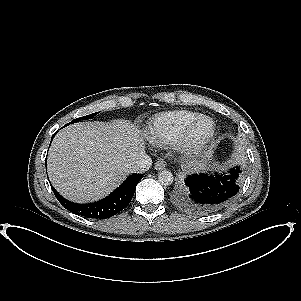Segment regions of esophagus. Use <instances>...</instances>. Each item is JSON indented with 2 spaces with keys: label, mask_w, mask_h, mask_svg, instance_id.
Segmentation results:
<instances>
[{
  "label": "esophagus",
  "mask_w": 301,
  "mask_h": 301,
  "mask_svg": "<svg viewBox=\"0 0 301 301\" xmlns=\"http://www.w3.org/2000/svg\"><path fill=\"white\" fill-rule=\"evenodd\" d=\"M166 167V163L163 160H158L155 162L154 168L158 171L163 170Z\"/></svg>",
  "instance_id": "obj_1"
}]
</instances>
